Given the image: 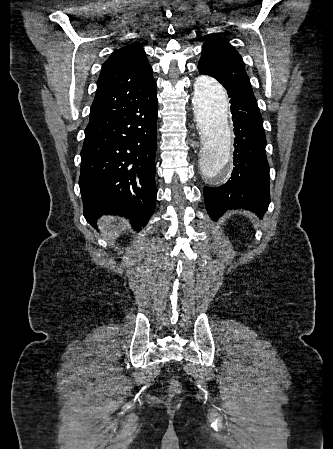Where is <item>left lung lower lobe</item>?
Instances as JSON below:
<instances>
[{
  "label": "left lung lower lobe",
  "mask_w": 333,
  "mask_h": 449,
  "mask_svg": "<svg viewBox=\"0 0 333 449\" xmlns=\"http://www.w3.org/2000/svg\"><path fill=\"white\" fill-rule=\"evenodd\" d=\"M234 124V169L221 187H204L209 216L217 220L227 209L245 208L262 217L270 203L269 165L263 119L254 94L227 86Z\"/></svg>",
  "instance_id": "obj_1"
}]
</instances>
